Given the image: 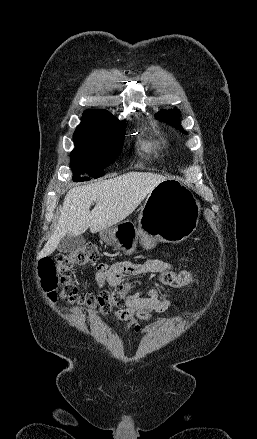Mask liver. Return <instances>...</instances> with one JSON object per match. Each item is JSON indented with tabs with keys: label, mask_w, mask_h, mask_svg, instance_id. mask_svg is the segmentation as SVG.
Wrapping results in <instances>:
<instances>
[{
	"label": "liver",
	"mask_w": 257,
	"mask_h": 439,
	"mask_svg": "<svg viewBox=\"0 0 257 439\" xmlns=\"http://www.w3.org/2000/svg\"><path fill=\"white\" fill-rule=\"evenodd\" d=\"M166 179L150 172H128L70 189L64 198L56 229L38 257L52 254L68 234L79 236L88 228L91 233H96L120 223ZM93 202L96 205L90 211Z\"/></svg>",
	"instance_id": "6515ba94"
}]
</instances>
